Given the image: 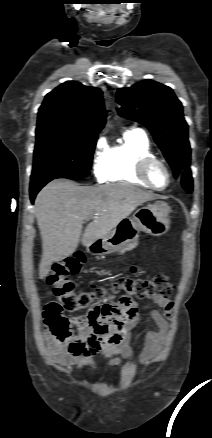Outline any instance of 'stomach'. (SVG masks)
I'll return each instance as SVG.
<instances>
[{
  "label": "stomach",
  "mask_w": 212,
  "mask_h": 438,
  "mask_svg": "<svg viewBox=\"0 0 212 438\" xmlns=\"http://www.w3.org/2000/svg\"><path fill=\"white\" fill-rule=\"evenodd\" d=\"M170 212L171 208L163 201H156L138 209L132 219L122 220L102 239L104 252L110 253L123 249L138 238L139 231L152 236L166 234L171 224Z\"/></svg>",
  "instance_id": "0dacf381"
}]
</instances>
